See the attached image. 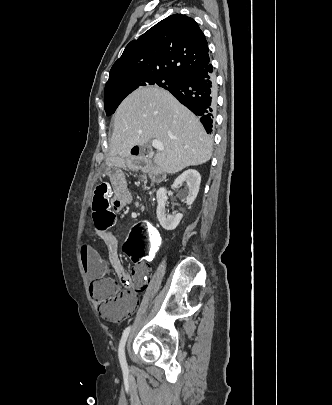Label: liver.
I'll return each instance as SVG.
<instances>
[{
    "mask_svg": "<svg viewBox=\"0 0 332 405\" xmlns=\"http://www.w3.org/2000/svg\"><path fill=\"white\" fill-rule=\"evenodd\" d=\"M150 140L162 142L164 151L155 155L154 163L168 174L204 164L212 155L213 141L199 118L158 87L134 91L117 108L108 163L124 162L134 146Z\"/></svg>",
    "mask_w": 332,
    "mask_h": 405,
    "instance_id": "1",
    "label": "liver"
}]
</instances>
